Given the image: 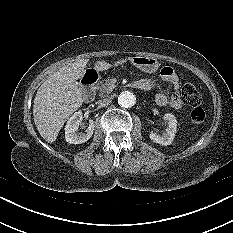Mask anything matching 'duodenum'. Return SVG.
<instances>
[{
  "label": "duodenum",
  "instance_id": "obj_1",
  "mask_svg": "<svg viewBox=\"0 0 233 233\" xmlns=\"http://www.w3.org/2000/svg\"><path fill=\"white\" fill-rule=\"evenodd\" d=\"M98 81V74L96 72H88L82 78V87L84 92V98L90 102L93 100L95 95V86ZM123 87L128 88L130 85L139 90H146L147 85L143 80L135 81L131 84L130 80L125 79L122 82Z\"/></svg>",
  "mask_w": 233,
  "mask_h": 233
}]
</instances>
